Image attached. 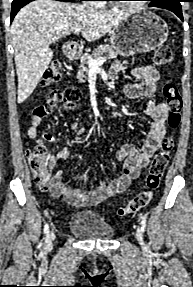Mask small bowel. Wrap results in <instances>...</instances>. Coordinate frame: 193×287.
Segmentation results:
<instances>
[{
	"label": "small bowel",
	"mask_w": 193,
	"mask_h": 287,
	"mask_svg": "<svg viewBox=\"0 0 193 287\" xmlns=\"http://www.w3.org/2000/svg\"><path fill=\"white\" fill-rule=\"evenodd\" d=\"M125 70L120 62L112 65V72L120 73ZM132 74L138 79V83L126 84L124 93L127 98L137 99L146 97L149 99L145 107V114L152 121L147 136L138 148L135 143L128 142L116 151V157L123 161L122 171L110 182L102 181L97 187L92 189H79L68 186L64 179V171L58 169L50 181L51 194L54 197L63 198L73 205H96L102 201L115 196L124 191L130 182L137 178L142 168H144L150 157L158 150L166 133L167 108L156 100L157 83L160 78L159 71L151 66L139 67L132 70ZM42 123L41 119H32V124L28 129V136L35 138L38 128ZM70 130L77 136L83 135L85 129L78 123L69 124ZM45 139L48 142L55 140L53 133H46ZM68 157V150L63 149L51 156L50 164L55 167L61 160Z\"/></svg>",
	"instance_id": "1"
}]
</instances>
